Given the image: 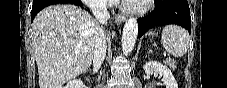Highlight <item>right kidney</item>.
<instances>
[{
	"label": "right kidney",
	"instance_id": "right-kidney-1",
	"mask_svg": "<svg viewBox=\"0 0 227 88\" xmlns=\"http://www.w3.org/2000/svg\"><path fill=\"white\" fill-rule=\"evenodd\" d=\"M83 87L84 86L81 79H74L69 81L63 88H83Z\"/></svg>",
	"mask_w": 227,
	"mask_h": 88
}]
</instances>
